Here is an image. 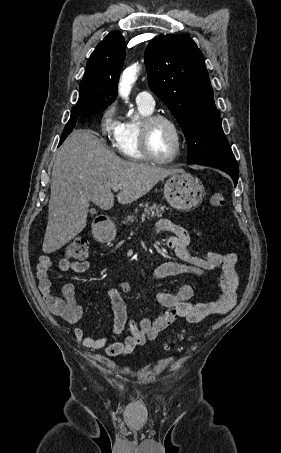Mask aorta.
Here are the masks:
<instances>
[{"mask_svg":"<svg viewBox=\"0 0 281 453\" xmlns=\"http://www.w3.org/2000/svg\"><path fill=\"white\" fill-rule=\"evenodd\" d=\"M140 66L136 63L124 70L119 83L120 96L128 101L132 85L135 82ZM133 111V110H131Z\"/></svg>","mask_w":281,"mask_h":453,"instance_id":"aorta-1","label":"aorta"}]
</instances>
